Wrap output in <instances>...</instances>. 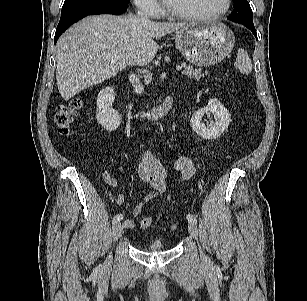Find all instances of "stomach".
Listing matches in <instances>:
<instances>
[{"label":"stomach","instance_id":"1","mask_svg":"<svg viewBox=\"0 0 307 301\" xmlns=\"http://www.w3.org/2000/svg\"><path fill=\"white\" fill-rule=\"evenodd\" d=\"M182 55L197 66H212L222 61L233 49L235 37L223 23H189L175 37Z\"/></svg>","mask_w":307,"mask_h":301}]
</instances>
